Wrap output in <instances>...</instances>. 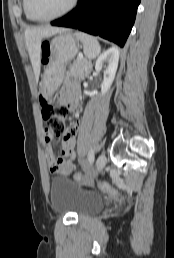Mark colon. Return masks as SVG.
Instances as JSON below:
<instances>
[{
    "label": "colon",
    "instance_id": "5ec220e1",
    "mask_svg": "<svg viewBox=\"0 0 174 258\" xmlns=\"http://www.w3.org/2000/svg\"><path fill=\"white\" fill-rule=\"evenodd\" d=\"M48 44H44L43 53L46 57L48 54ZM42 105V116L46 124V128L54 136H61L66 130V119L68 115V108L61 105L55 98L45 99L41 97ZM73 180L77 183H86L88 177L82 173H75L73 175ZM98 188L108 197L112 199H120L119 192L113 188L110 184L104 181H99L97 183Z\"/></svg>",
    "mask_w": 174,
    "mask_h": 258
}]
</instances>
